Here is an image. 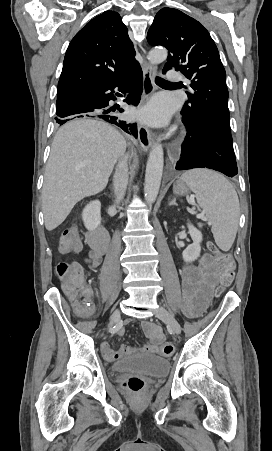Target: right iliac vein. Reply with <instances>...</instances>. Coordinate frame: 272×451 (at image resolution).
Wrapping results in <instances>:
<instances>
[{
    "instance_id": "right-iliac-vein-1",
    "label": "right iliac vein",
    "mask_w": 272,
    "mask_h": 451,
    "mask_svg": "<svg viewBox=\"0 0 272 451\" xmlns=\"http://www.w3.org/2000/svg\"><path fill=\"white\" fill-rule=\"evenodd\" d=\"M120 319V311L119 310H115L112 315H111V319H110V323H109V327L111 328L113 326V324Z\"/></svg>"
}]
</instances>
